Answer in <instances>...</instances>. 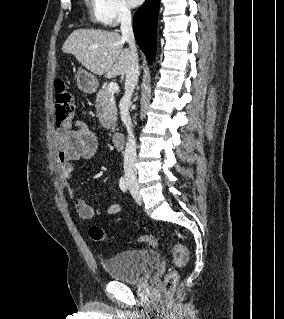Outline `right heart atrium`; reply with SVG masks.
Wrapping results in <instances>:
<instances>
[{
    "instance_id": "d8ad5b80",
    "label": "right heart atrium",
    "mask_w": 284,
    "mask_h": 319,
    "mask_svg": "<svg viewBox=\"0 0 284 319\" xmlns=\"http://www.w3.org/2000/svg\"><path fill=\"white\" fill-rule=\"evenodd\" d=\"M98 20L103 25L114 27L131 16L123 0H96Z\"/></svg>"
}]
</instances>
